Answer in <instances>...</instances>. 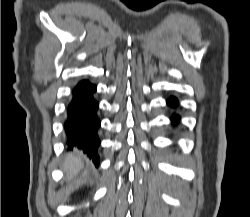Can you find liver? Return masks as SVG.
<instances>
[{
  "label": "liver",
  "mask_w": 250,
  "mask_h": 217,
  "mask_svg": "<svg viewBox=\"0 0 250 217\" xmlns=\"http://www.w3.org/2000/svg\"><path fill=\"white\" fill-rule=\"evenodd\" d=\"M83 167L84 163L82 162L81 158L72 154L67 155L66 161L63 166L64 170L67 173L68 180L75 177Z\"/></svg>",
  "instance_id": "1"
}]
</instances>
